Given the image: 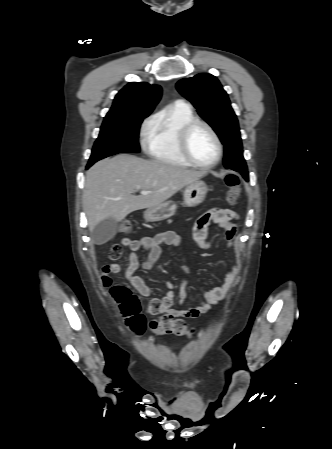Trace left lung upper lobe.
I'll list each match as a JSON object with an SVG mask.
<instances>
[{"mask_svg": "<svg viewBox=\"0 0 332 449\" xmlns=\"http://www.w3.org/2000/svg\"><path fill=\"white\" fill-rule=\"evenodd\" d=\"M176 87L219 136L224 145V166L240 172L248 180L238 120L219 80L211 74L202 73L180 80Z\"/></svg>", "mask_w": 332, "mask_h": 449, "instance_id": "left-lung-upper-lobe-1", "label": "left lung upper lobe"}]
</instances>
